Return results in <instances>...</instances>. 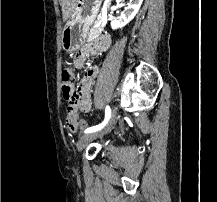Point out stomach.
<instances>
[{"label":"stomach","instance_id":"0dacf381","mask_svg":"<svg viewBox=\"0 0 217 202\" xmlns=\"http://www.w3.org/2000/svg\"><path fill=\"white\" fill-rule=\"evenodd\" d=\"M100 0H77L75 10L62 32V46L66 52H76L89 36L96 20Z\"/></svg>","mask_w":217,"mask_h":202}]
</instances>
